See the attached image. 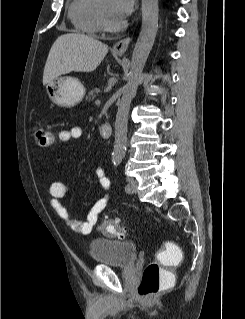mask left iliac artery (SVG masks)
I'll list each match as a JSON object with an SVG mask.
<instances>
[{"label": "left iliac artery", "instance_id": "44dca946", "mask_svg": "<svg viewBox=\"0 0 245 319\" xmlns=\"http://www.w3.org/2000/svg\"><path fill=\"white\" fill-rule=\"evenodd\" d=\"M120 162H121L120 159H115V160L113 161V163H114L115 166H118V165L120 164ZM125 190H126V191L129 190V185H126V186H125Z\"/></svg>", "mask_w": 245, "mask_h": 319}]
</instances>
